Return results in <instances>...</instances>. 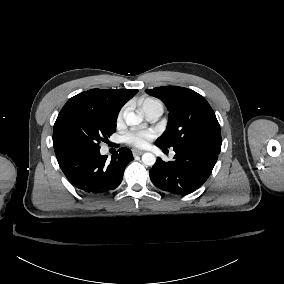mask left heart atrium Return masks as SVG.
Segmentation results:
<instances>
[{"label": "left heart atrium", "mask_w": 284, "mask_h": 284, "mask_svg": "<svg viewBox=\"0 0 284 284\" xmlns=\"http://www.w3.org/2000/svg\"><path fill=\"white\" fill-rule=\"evenodd\" d=\"M154 133L150 130H132L126 135L129 144L136 147H144L152 140Z\"/></svg>", "instance_id": "1"}]
</instances>
